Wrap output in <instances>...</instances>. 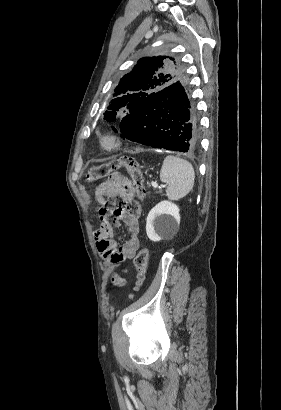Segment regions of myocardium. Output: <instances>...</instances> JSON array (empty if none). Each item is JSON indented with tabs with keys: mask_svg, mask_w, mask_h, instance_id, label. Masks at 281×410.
Segmentation results:
<instances>
[{
	"mask_svg": "<svg viewBox=\"0 0 281 410\" xmlns=\"http://www.w3.org/2000/svg\"><path fill=\"white\" fill-rule=\"evenodd\" d=\"M125 137L120 132L109 131L98 137V145L101 150L107 153L117 152L123 148Z\"/></svg>",
	"mask_w": 281,
	"mask_h": 410,
	"instance_id": "myocardium-1",
	"label": "myocardium"
}]
</instances>
